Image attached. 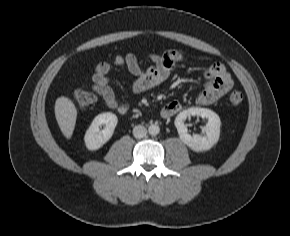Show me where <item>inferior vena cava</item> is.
Returning a JSON list of instances; mask_svg holds the SVG:
<instances>
[{"label": "inferior vena cava", "mask_w": 290, "mask_h": 236, "mask_svg": "<svg viewBox=\"0 0 290 236\" xmlns=\"http://www.w3.org/2000/svg\"><path fill=\"white\" fill-rule=\"evenodd\" d=\"M147 134V129L142 125H137L133 128V135L135 138H143Z\"/></svg>", "instance_id": "obj_1"}]
</instances>
